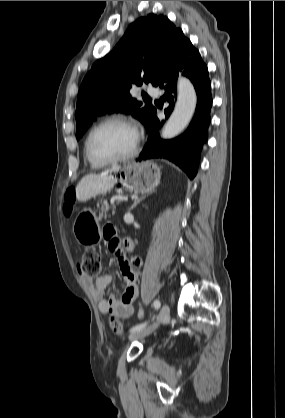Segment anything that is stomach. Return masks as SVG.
Masks as SVG:
<instances>
[{
	"label": "stomach",
	"instance_id": "0dacf381",
	"mask_svg": "<svg viewBox=\"0 0 285 418\" xmlns=\"http://www.w3.org/2000/svg\"><path fill=\"white\" fill-rule=\"evenodd\" d=\"M117 178L127 191L134 193L146 192L160 182L161 171L157 164L151 161L142 163H130L115 172ZM80 213L74 222L73 232L76 239L83 244L86 240L94 238L98 241L101 238V230L98 222L93 221Z\"/></svg>",
	"mask_w": 285,
	"mask_h": 418
}]
</instances>
